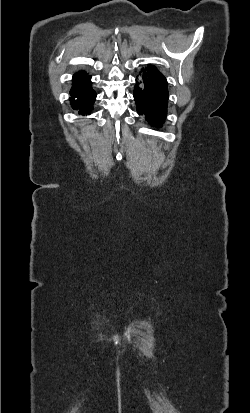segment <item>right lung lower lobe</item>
Returning <instances> with one entry per match:
<instances>
[{"label": "right lung lower lobe", "mask_w": 250, "mask_h": 413, "mask_svg": "<svg viewBox=\"0 0 250 413\" xmlns=\"http://www.w3.org/2000/svg\"><path fill=\"white\" fill-rule=\"evenodd\" d=\"M91 76L87 74L81 78L74 80L70 90V102L74 110H78L79 114L87 115L93 110V104L96 99V93L92 89Z\"/></svg>", "instance_id": "right-lung-lower-lobe-1"}]
</instances>
